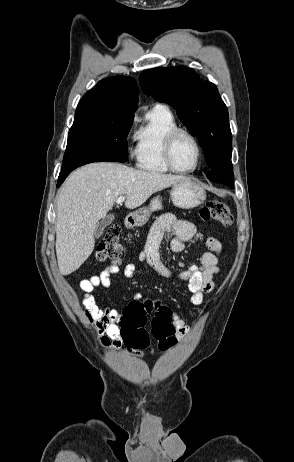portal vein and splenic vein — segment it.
<instances>
[{
  "mask_svg": "<svg viewBox=\"0 0 294 462\" xmlns=\"http://www.w3.org/2000/svg\"><path fill=\"white\" fill-rule=\"evenodd\" d=\"M125 196H119L116 200V203L121 204L125 200Z\"/></svg>",
  "mask_w": 294,
  "mask_h": 462,
  "instance_id": "18ae733b",
  "label": "portal vein and splenic vein"
}]
</instances>
